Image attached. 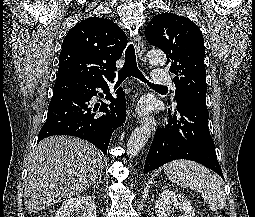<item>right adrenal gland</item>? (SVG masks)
<instances>
[{
	"mask_svg": "<svg viewBox=\"0 0 255 217\" xmlns=\"http://www.w3.org/2000/svg\"><path fill=\"white\" fill-rule=\"evenodd\" d=\"M97 182H99L100 184H102L101 175H100L99 178L97 179ZM94 183H96V181H95Z\"/></svg>",
	"mask_w": 255,
	"mask_h": 217,
	"instance_id": "1",
	"label": "right adrenal gland"
}]
</instances>
